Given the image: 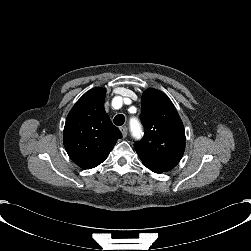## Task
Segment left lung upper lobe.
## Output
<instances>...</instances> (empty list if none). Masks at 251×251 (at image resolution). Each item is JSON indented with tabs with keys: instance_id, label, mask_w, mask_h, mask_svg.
Listing matches in <instances>:
<instances>
[{
	"instance_id": "5c2ea615",
	"label": "left lung upper lobe",
	"mask_w": 251,
	"mask_h": 251,
	"mask_svg": "<svg viewBox=\"0 0 251 251\" xmlns=\"http://www.w3.org/2000/svg\"><path fill=\"white\" fill-rule=\"evenodd\" d=\"M145 134L134 147L143 164L155 173L167 172L185 150V130L171 100L161 91L147 89L141 99Z\"/></svg>"
}]
</instances>
